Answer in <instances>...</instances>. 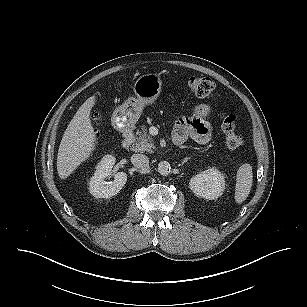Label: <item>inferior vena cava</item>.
<instances>
[{"instance_id": "602c4592", "label": "inferior vena cava", "mask_w": 307, "mask_h": 307, "mask_svg": "<svg viewBox=\"0 0 307 307\" xmlns=\"http://www.w3.org/2000/svg\"><path fill=\"white\" fill-rule=\"evenodd\" d=\"M131 162L139 169H146L149 166V158L143 154H133L131 156Z\"/></svg>"}]
</instances>
